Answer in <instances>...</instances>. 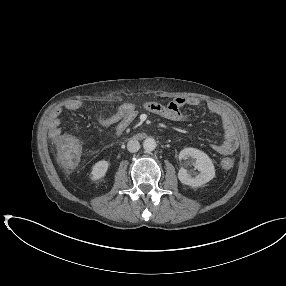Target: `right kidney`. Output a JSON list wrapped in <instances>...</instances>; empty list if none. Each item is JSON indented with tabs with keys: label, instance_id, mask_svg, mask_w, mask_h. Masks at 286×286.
I'll use <instances>...</instances> for the list:
<instances>
[{
	"label": "right kidney",
	"instance_id": "right-kidney-1",
	"mask_svg": "<svg viewBox=\"0 0 286 286\" xmlns=\"http://www.w3.org/2000/svg\"><path fill=\"white\" fill-rule=\"evenodd\" d=\"M109 163L105 160H100L92 168L91 171V179L93 181H97L101 178H103L106 175V172L108 170Z\"/></svg>",
	"mask_w": 286,
	"mask_h": 286
}]
</instances>
